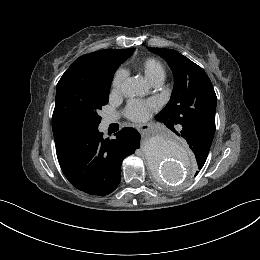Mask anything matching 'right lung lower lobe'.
Here are the masks:
<instances>
[{
    "label": "right lung lower lobe",
    "instance_id": "1",
    "mask_svg": "<svg viewBox=\"0 0 260 260\" xmlns=\"http://www.w3.org/2000/svg\"><path fill=\"white\" fill-rule=\"evenodd\" d=\"M113 140L104 139L98 127L55 138L60 167L77 189L90 195L105 196L121 180L123 159L140 147V134L123 128Z\"/></svg>",
    "mask_w": 260,
    "mask_h": 260
}]
</instances>
